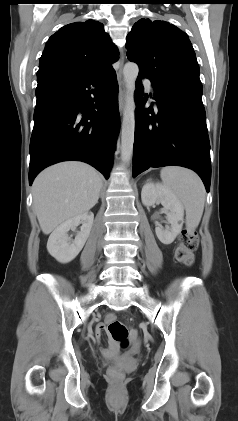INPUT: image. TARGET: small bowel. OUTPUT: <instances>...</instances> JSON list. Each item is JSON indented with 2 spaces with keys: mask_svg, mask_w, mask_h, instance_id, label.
Instances as JSON below:
<instances>
[{
  "mask_svg": "<svg viewBox=\"0 0 238 421\" xmlns=\"http://www.w3.org/2000/svg\"><path fill=\"white\" fill-rule=\"evenodd\" d=\"M103 329H105V323H101V324H99L97 326V328H96V335H97V337H100Z\"/></svg>",
  "mask_w": 238,
  "mask_h": 421,
  "instance_id": "c3829d8e",
  "label": "small bowel"
}]
</instances>
